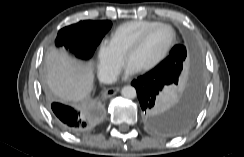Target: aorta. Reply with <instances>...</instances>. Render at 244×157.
<instances>
[{"label": "aorta", "mask_w": 244, "mask_h": 157, "mask_svg": "<svg viewBox=\"0 0 244 157\" xmlns=\"http://www.w3.org/2000/svg\"><path fill=\"white\" fill-rule=\"evenodd\" d=\"M121 95L126 99H134L136 97V89L133 86H124Z\"/></svg>", "instance_id": "1"}]
</instances>
